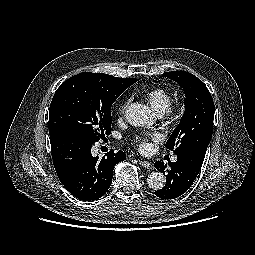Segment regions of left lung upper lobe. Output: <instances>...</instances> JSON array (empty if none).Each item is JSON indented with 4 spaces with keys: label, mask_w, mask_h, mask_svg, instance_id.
<instances>
[{
    "label": "left lung upper lobe",
    "mask_w": 255,
    "mask_h": 255,
    "mask_svg": "<svg viewBox=\"0 0 255 255\" xmlns=\"http://www.w3.org/2000/svg\"><path fill=\"white\" fill-rule=\"evenodd\" d=\"M185 94V112L179 125L166 142V148L176 155L194 153L205 157L213 133L214 102L206 85L186 71L166 72Z\"/></svg>",
    "instance_id": "5c2ea615"
}]
</instances>
